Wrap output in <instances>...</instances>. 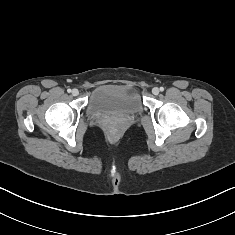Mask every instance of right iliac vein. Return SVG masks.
Listing matches in <instances>:
<instances>
[{
  "instance_id": "63e3f726",
  "label": "right iliac vein",
  "mask_w": 235,
  "mask_h": 235,
  "mask_svg": "<svg viewBox=\"0 0 235 235\" xmlns=\"http://www.w3.org/2000/svg\"><path fill=\"white\" fill-rule=\"evenodd\" d=\"M79 94V90L78 89H73L72 90V95L73 96H77Z\"/></svg>"
}]
</instances>
